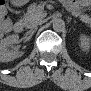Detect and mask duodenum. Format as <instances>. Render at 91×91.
I'll return each mask as SVG.
<instances>
[{"instance_id": "1", "label": "duodenum", "mask_w": 91, "mask_h": 91, "mask_svg": "<svg viewBox=\"0 0 91 91\" xmlns=\"http://www.w3.org/2000/svg\"><path fill=\"white\" fill-rule=\"evenodd\" d=\"M25 23L23 20H17L13 25V30L16 33H20L24 30Z\"/></svg>"}]
</instances>
